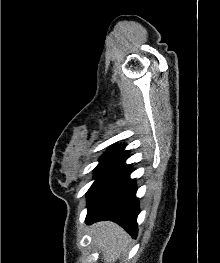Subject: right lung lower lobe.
<instances>
[{"label":"right lung lower lobe","mask_w":220,"mask_h":263,"mask_svg":"<svg viewBox=\"0 0 220 263\" xmlns=\"http://www.w3.org/2000/svg\"><path fill=\"white\" fill-rule=\"evenodd\" d=\"M128 154V151H123L115 155L97 175L87 192L86 223L111 220L135 238L139 202L136 198V183L129 177L130 165L125 164Z\"/></svg>","instance_id":"right-lung-lower-lobe-1"}]
</instances>
